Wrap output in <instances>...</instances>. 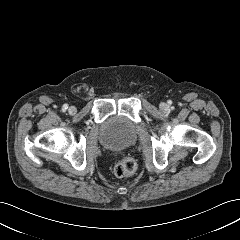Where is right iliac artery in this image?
<instances>
[{
	"label": "right iliac artery",
	"instance_id": "1",
	"mask_svg": "<svg viewBox=\"0 0 240 240\" xmlns=\"http://www.w3.org/2000/svg\"><path fill=\"white\" fill-rule=\"evenodd\" d=\"M67 108H68V106L65 104V105H63L62 110L65 111Z\"/></svg>",
	"mask_w": 240,
	"mask_h": 240
}]
</instances>
